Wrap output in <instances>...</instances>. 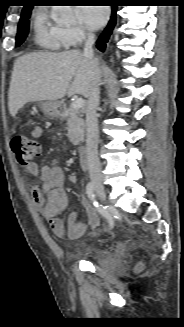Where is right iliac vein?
<instances>
[{
  "label": "right iliac vein",
  "mask_w": 184,
  "mask_h": 327,
  "mask_svg": "<svg viewBox=\"0 0 184 327\" xmlns=\"http://www.w3.org/2000/svg\"><path fill=\"white\" fill-rule=\"evenodd\" d=\"M93 185H94V189H95L96 193L98 194V196L102 200H105L106 199V192H105L104 186L102 185L101 181H99V180L94 181Z\"/></svg>",
  "instance_id": "obj_1"
}]
</instances>
